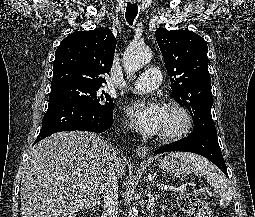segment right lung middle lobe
Listing matches in <instances>:
<instances>
[{
    "instance_id": "obj_1",
    "label": "right lung middle lobe",
    "mask_w": 255,
    "mask_h": 217,
    "mask_svg": "<svg viewBox=\"0 0 255 217\" xmlns=\"http://www.w3.org/2000/svg\"><path fill=\"white\" fill-rule=\"evenodd\" d=\"M64 99L101 112L113 111V100L105 91L100 94V87L81 84H62L51 87L49 102Z\"/></svg>"
}]
</instances>
